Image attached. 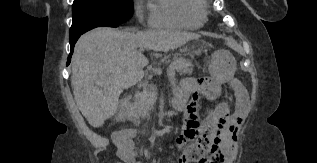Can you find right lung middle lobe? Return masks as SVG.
I'll return each mask as SVG.
<instances>
[{
  "label": "right lung middle lobe",
  "mask_w": 317,
  "mask_h": 163,
  "mask_svg": "<svg viewBox=\"0 0 317 163\" xmlns=\"http://www.w3.org/2000/svg\"><path fill=\"white\" fill-rule=\"evenodd\" d=\"M133 14V0H74L70 39L100 26L125 23Z\"/></svg>",
  "instance_id": "obj_1"
}]
</instances>
